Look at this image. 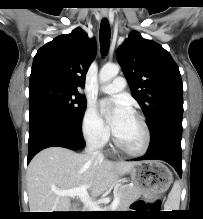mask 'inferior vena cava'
Segmentation results:
<instances>
[{
  "instance_id": "inferior-vena-cava-1",
  "label": "inferior vena cava",
  "mask_w": 203,
  "mask_h": 219,
  "mask_svg": "<svg viewBox=\"0 0 203 219\" xmlns=\"http://www.w3.org/2000/svg\"><path fill=\"white\" fill-rule=\"evenodd\" d=\"M85 151L87 154H90L93 157H97L100 160L104 158L103 154L99 150L95 149L93 146H88Z\"/></svg>"
}]
</instances>
